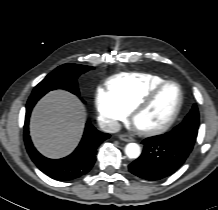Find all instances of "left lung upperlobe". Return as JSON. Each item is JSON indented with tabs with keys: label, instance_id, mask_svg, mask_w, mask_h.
Returning <instances> with one entry per match:
<instances>
[{
	"label": "left lung upper lobe",
	"instance_id": "left-lung-upper-lobe-1",
	"mask_svg": "<svg viewBox=\"0 0 218 210\" xmlns=\"http://www.w3.org/2000/svg\"><path fill=\"white\" fill-rule=\"evenodd\" d=\"M178 126H180V128L182 129L187 127L188 133H186V135L190 136L194 141L196 140L199 126V113L196 104L193 105V108L191 109L190 113L185 117L184 121ZM177 127H175L171 132H169V134L173 135L176 132H178Z\"/></svg>",
	"mask_w": 218,
	"mask_h": 210
}]
</instances>
